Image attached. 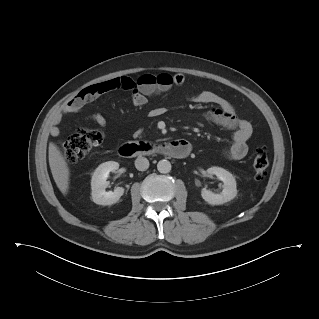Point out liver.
Wrapping results in <instances>:
<instances>
[{
  "label": "liver",
  "instance_id": "6515ba94",
  "mask_svg": "<svg viewBox=\"0 0 319 319\" xmlns=\"http://www.w3.org/2000/svg\"><path fill=\"white\" fill-rule=\"evenodd\" d=\"M49 165L52 172L53 179L62 192V194H67L69 189V177L70 170L65 158L63 157L61 151L53 143H49Z\"/></svg>",
  "mask_w": 319,
  "mask_h": 319
}]
</instances>
